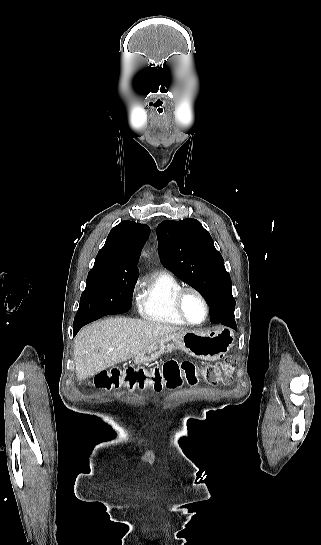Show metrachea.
<instances>
[{
    "label": "trachea",
    "mask_w": 321,
    "mask_h": 545,
    "mask_svg": "<svg viewBox=\"0 0 321 545\" xmlns=\"http://www.w3.org/2000/svg\"><path fill=\"white\" fill-rule=\"evenodd\" d=\"M155 111L161 115L163 113V107L162 106H157L155 108Z\"/></svg>",
    "instance_id": "trachea-1"
}]
</instances>
